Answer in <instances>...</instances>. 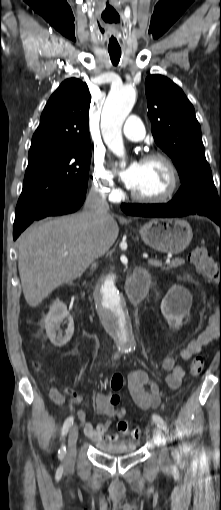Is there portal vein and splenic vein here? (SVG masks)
Instances as JSON below:
<instances>
[{
  "mask_svg": "<svg viewBox=\"0 0 221 510\" xmlns=\"http://www.w3.org/2000/svg\"><path fill=\"white\" fill-rule=\"evenodd\" d=\"M166 263H169L168 261ZM148 264L153 266H161L162 263L156 259H148Z\"/></svg>",
  "mask_w": 221,
  "mask_h": 510,
  "instance_id": "18ae733b",
  "label": "portal vein and splenic vein"
}]
</instances>
